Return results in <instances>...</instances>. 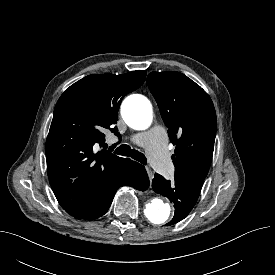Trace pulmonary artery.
I'll return each instance as SVG.
<instances>
[{"mask_svg": "<svg viewBox=\"0 0 275 275\" xmlns=\"http://www.w3.org/2000/svg\"><path fill=\"white\" fill-rule=\"evenodd\" d=\"M131 141L146 149L151 165L164 176H170L173 165L166 150V133L162 128H153L149 132L137 133Z\"/></svg>", "mask_w": 275, "mask_h": 275, "instance_id": "pulmonary-artery-1", "label": "pulmonary artery"}]
</instances>
